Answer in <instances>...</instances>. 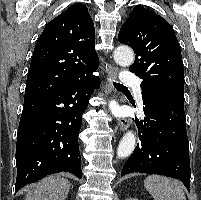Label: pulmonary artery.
Returning a JSON list of instances; mask_svg holds the SVG:
<instances>
[{"label": "pulmonary artery", "mask_w": 201, "mask_h": 200, "mask_svg": "<svg viewBox=\"0 0 201 200\" xmlns=\"http://www.w3.org/2000/svg\"><path fill=\"white\" fill-rule=\"evenodd\" d=\"M120 80L124 85H130L136 88H140V78L134 73L126 71L120 76ZM137 97L139 101L142 100V95L140 91L137 92Z\"/></svg>", "instance_id": "e3ab8cb5"}]
</instances>
